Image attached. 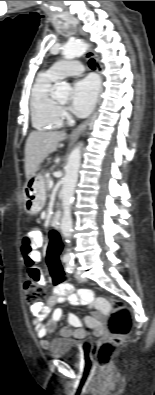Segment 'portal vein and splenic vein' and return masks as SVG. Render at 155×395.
<instances>
[{
    "label": "portal vein and splenic vein",
    "instance_id": "18ae733b",
    "mask_svg": "<svg viewBox=\"0 0 155 395\" xmlns=\"http://www.w3.org/2000/svg\"><path fill=\"white\" fill-rule=\"evenodd\" d=\"M53 184H54L53 181L50 180V181H49V188H52V187H53Z\"/></svg>",
    "mask_w": 155,
    "mask_h": 395
}]
</instances>
